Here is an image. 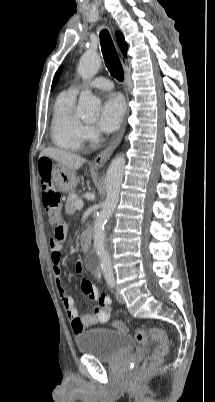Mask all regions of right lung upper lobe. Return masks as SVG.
I'll list each match as a JSON object with an SVG mask.
<instances>
[{
    "instance_id": "right-lung-upper-lobe-1",
    "label": "right lung upper lobe",
    "mask_w": 215,
    "mask_h": 402,
    "mask_svg": "<svg viewBox=\"0 0 215 402\" xmlns=\"http://www.w3.org/2000/svg\"><path fill=\"white\" fill-rule=\"evenodd\" d=\"M117 41H118V44H119V46H120V48H121L123 54L126 56L127 44H126V42H125V40H124V37H123L121 34H119V33H117ZM61 70H62V66L57 70V72H56V74H55V76H54L53 84H52V89L54 88V85L56 84V82H57V80H58V78H59V75H60V71H61Z\"/></svg>"
}]
</instances>
